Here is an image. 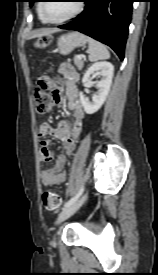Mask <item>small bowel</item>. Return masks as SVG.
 Returning a JSON list of instances; mask_svg holds the SVG:
<instances>
[{
    "label": "small bowel",
    "instance_id": "obj_1",
    "mask_svg": "<svg viewBox=\"0 0 158 275\" xmlns=\"http://www.w3.org/2000/svg\"><path fill=\"white\" fill-rule=\"evenodd\" d=\"M59 73L61 74L60 78L42 77L41 79L47 82L49 88L53 89L55 95L54 105H66L72 113L73 121H60L56 127L49 123H43L39 127V137L41 139L39 159L41 162L54 160L51 167L42 169L40 172L41 182L46 187L57 186L65 182V166L68 158L75 150L85 117L76 84L78 73L66 63L60 65ZM60 86L65 88L66 98L63 97ZM49 135H53L62 142V152L56 157L49 148V139L47 138Z\"/></svg>",
    "mask_w": 158,
    "mask_h": 275
}]
</instances>
